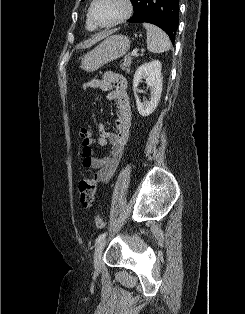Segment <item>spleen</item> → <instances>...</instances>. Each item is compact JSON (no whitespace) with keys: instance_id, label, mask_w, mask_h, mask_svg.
Returning <instances> with one entry per match:
<instances>
[{"instance_id":"obj_1","label":"spleen","mask_w":245,"mask_h":314,"mask_svg":"<svg viewBox=\"0 0 245 314\" xmlns=\"http://www.w3.org/2000/svg\"><path fill=\"white\" fill-rule=\"evenodd\" d=\"M147 31V49L151 53H163L171 49V41L167 34L159 27L150 23H143Z\"/></svg>"}]
</instances>
